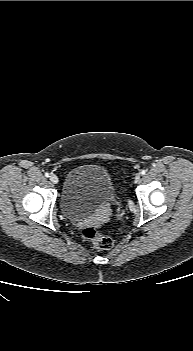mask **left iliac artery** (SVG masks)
Masks as SVG:
<instances>
[{"label": "left iliac artery", "mask_w": 193, "mask_h": 351, "mask_svg": "<svg viewBox=\"0 0 193 351\" xmlns=\"http://www.w3.org/2000/svg\"><path fill=\"white\" fill-rule=\"evenodd\" d=\"M140 173H141V175H145L146 174V170H142Z\"/></svg>", "instance_id": "1"}]
</instances>
